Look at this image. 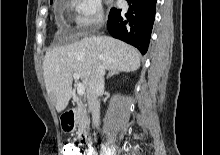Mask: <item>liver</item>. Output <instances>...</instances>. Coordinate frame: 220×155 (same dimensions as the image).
Here are the masks:
<instances>
[{"label": "liver", "mask_w": 220, "mask_h": 155, "mask_svg": "<svg viewBox=\"0 0 220 155\" xmlns=\"http://www.w3.org/2000/svg\"><path fill=\"white\" fill-rule=\"evenodd\" d=\"M140 57L134 47L108 36L85 37L53 48L46 53L43 61L46 90L60 113L72 97L73 73L79 74L87 88L97 64L102 63L110 71L132 72L140 67Z\"/></svg>", "instance_id": "6515ba94"}]
</instances>
